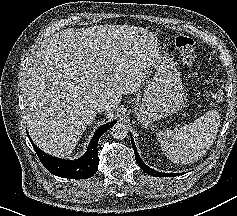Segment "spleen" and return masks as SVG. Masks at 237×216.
Wrapping results in <instances>:
<instances>
[{
	"mask_svg": "<svg viewBox=\"0 0 237 216\" xmlns=\"http://www.w3.org/2000/svg\"><path fill=\"white\" fill-rule=\"evenodd\" d=\"M217 126L210 122L208 114L174 130L159 131L157 141L165 156L172 161L193 162L211 146Z\"/></svg>",
	"mask_w": 237,
	"mask_h": 216,
	"instance_id": "3e777b00",
	"label": "spleen"
}]
</instances>
